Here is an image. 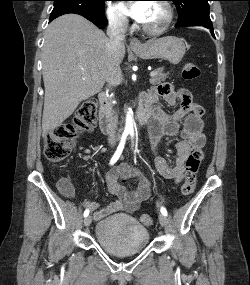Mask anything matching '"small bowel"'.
I'll use <instances>...</instances> for the list:
<instances>
[{"label":"small bowel","instance_id":"1","mask_svg":"<svg viewBox=\"0 0 250 285\" xmlns=\"http://www.w3.org/2000/svg\"><path fill=\"white\" fill-rule=\"evenodd\" d=\"M159 99H163L170 106L180 100V108L172 114L166 113L157 105ZM142 102L148 103L151 107L149 134L151 144L156 152L164 136H175L178 133L181 135V140L175 144L177 157L174 166L170 165L161 155L155 159L158 173L164 179L179 183L185 175V162L191 149L201 148L205 144L206 138L201 120L204 109L193 101L192 95L187 89L175 91L170 83H162L143 94ZM131 179L136 181L137 186L136 189L128 191L124 188L122 181ZM106 181L109 191L117 197L116 201L101 209L96 202L86 200L83 203L84 207L93 211L95 220L120 211L135 212L140 203L151 195L150 181L144 178L135 167L128 164L113 168L108 173ZM59 190L67 198H72L74 195V188L66 179L60 180Z\"/></svg>","mask_w":250,"mask_h":285}]
</instances>
